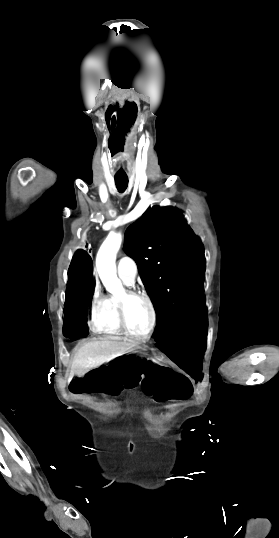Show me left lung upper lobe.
Listing matches in <instances>:
<instances>
[{"mask_svg": "<svg viewBox=\"0 0 279 538\" xmlns=\"http://www.w3.org/2000/svg\"><path fill=\"white\" fill-rule=\"evenodd\" d=\"M124 250L154 303L153 336L173 335L205 311L204 249L178 209H149L127 228Z\"/></svg>", "mask_w": 279, "mask_h": 538, "instance_id": "1", "label": "left lung upper lobe"}]
</instances>
